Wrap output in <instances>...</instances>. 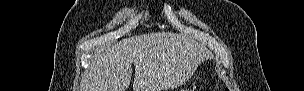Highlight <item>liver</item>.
Segmentation results:
<instances>
[{
	"label": "liver",
	"mask_w": 304,
	"mask_h": 91,
	"mask_svg": "<svg viewBox=\"0 0 304 91\" xmlns=\"http://www.w3.org/2000/svg\"><path fill=\"white\" fill-rule=\"evenodd\" d=\"M207 57L203 44L183 34L133 36L95 57L84 73L81 91H126L132 64L133 91H167L189 80Z\"/></svg>",
	"instance_id": "liver-1"
}]
</instances>
